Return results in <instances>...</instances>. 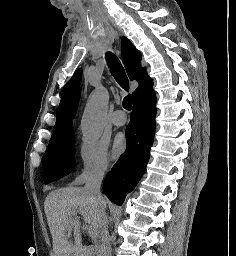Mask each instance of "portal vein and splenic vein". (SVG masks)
<instances>
[{
	"label": "portal vein and splenic vein",
	"instance_id": "obj_1",
	"mask_svg": "<svg viewBox=\"0 0 236 256\" xmlns=\"http://www.w3.org/2000/svg\"><path fill=\"white\" fill-rule=\"evenodd\" d=\"M83 230H88L90 236H92V238H96L97 232L94 228H87V226H83Z\"/></svg>",
	"mask_w": 236,
	"mask_h": 256
}]
</instances>
